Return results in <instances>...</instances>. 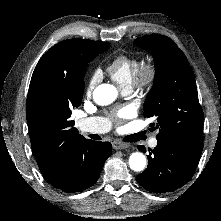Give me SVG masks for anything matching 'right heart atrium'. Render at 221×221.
I'll return each instance as SVG.
<instances>
[{
	"mask_svg": "<svg viewBox=\"0 0 221 221\" xmlns=\"http://www.w3.org/2000/svg\"><path fill=\"white\" fill-rule=\"evenodd\" d=\"M98 81V74L93 73L88 81L87 93H91Z\"/></svg>",
	"mask_w": 221,
	"mask_h": 221,
	"instance_id": "obj_1",
	"label": "right heart atrium"
}]
</instances>
